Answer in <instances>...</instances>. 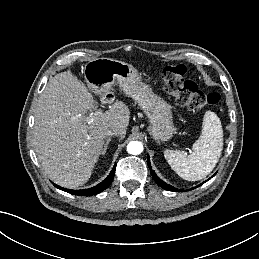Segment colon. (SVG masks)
Wrapping results in <instances>:
<instances>
[{
    "label": "colon",
    "instance_id": "obj_1",
    "mask_svg": "<svg viewBox=\"0 0 259 259\" xmlns=\"http://www.w3.org/2000/svg\"><path fill=\"white\" fill-rule=\"evenodd\" d=\"M185 74L186 67L182 64L168 66L162 73L163 88L177 104L199 111L219 103L221 97L218 93H203L194 82L185 79Z\"/></svg>",
    "mask_w": 259,
    "mask_h": 259
}]
</instances>
